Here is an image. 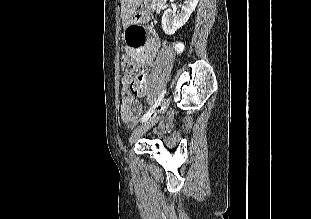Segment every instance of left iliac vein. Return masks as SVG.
I'll use <instances>...</instances> for the list:
<instances>
[{
	"label": "left iliac vein",
	"mask_w": 311,
	"mask_h": 219,
	"mask_svg": "<svg viewBox=\"0 0 311 219\" xmlns=\"http://www.w3.org/2000/svg\"><path fill=\"white\" fill-rule=\"evenodd\" d=\"M169 103L170 98L165 99L161 107L156 111V113L132 132L129 140L130 144H133L140 136H142L146 131H148L159 121L160 116L167 110Z\"/></svg>",
	"instance_id": "1"
}]
</instances>
